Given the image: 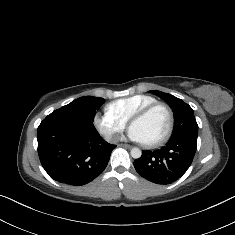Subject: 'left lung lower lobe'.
<instances>
[{"label":"left lung lower lobe","instance_id":"left-lung-lower-lobe-1","mask_svg":"<svg viewBox=\"0 0 235 235\" xmlns=\"http://www.w3.org/2000/svg\"><path fill=\"white\" fill-rule=\"evenodd\" d=\"M197 138L178 136L170 138L160 150L143 151L134 161L139 175L156 184H169L180 178L192 163Z\"/></svg>","mask_w":235,"mask_h":235}]
</instances>
